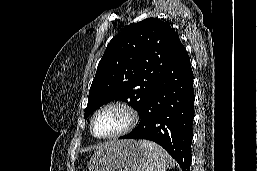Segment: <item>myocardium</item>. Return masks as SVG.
<instances>
[{
  "mask_svg": "<svg viewBox=\"0 0 257 171\" xmlns=\"http://www.w3.org/2000/svg\"><path fill=\"white\" fill-rule=\"evenodd\" d=\"M112 108H116V109H120L123 112H125L127 114L128 117V122L127 124L120 129L119 131L110 134V135H106V136H99L94 132V122L96 117L103 111L107 110V109H112ZM139 122V114L137 112V110L128 102L125 101H112L109 103L104 104L103 106H101L100 108H98L94 114L91 117V121H90V131L91 134L98 138V139H115L118 137H121L127 133H129L130 131H132L138 124Z\"/></svg>",
  "mask_w": 257,
  "mask_h": 171,
  "instance_id": "obj_1",
  "label": "myocardium"
}]
</instances>
